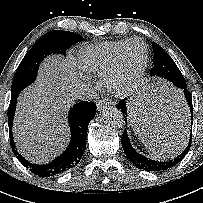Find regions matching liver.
<instances>
[{
  "label": "liver",
  "mask_w": 203,
  "mask_h": 203,
  "mask_svg": "<svg viewBox=\"0 0 203 203\" xmlns=\"http://www.w3.org/2000/svg\"><path fill=\"white\" fill-rule=\"evenodd\" d=\"M78 81L75 65L69 57H49L41 66L37 82L18 99L14 120V139L20 153L35 163L55 156L69 137L66 112L73 104L72 92ZM147 102L130 104L131 125L158 153L187 129V115L155 110L146 112Z\"/></svg>",
  "instance_id": "1"
}]
</instances>
